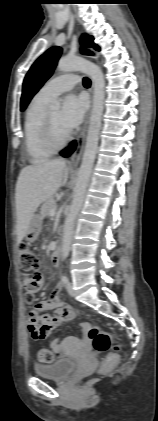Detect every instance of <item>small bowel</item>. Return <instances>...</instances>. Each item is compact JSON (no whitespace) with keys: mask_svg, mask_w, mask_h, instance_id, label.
Wrapping results in <instances>:
<instances>
[{"mask_svg":"<svg viewBox=\"0 0 158 421\" xmlns=\"http://www.w3.org/2000/svg\"><path fill=\"white\" fill-rule=\"evenodd\" d=\"M40 276V287L43 284V278ZM62 284L59 283L54 288L51 295L35 304L33 310L28 315V330L34 340H44L50 333L62 323L70 322L75 317V311L72 306L65 304L61 299ZM53 311V314L47 312ZM86 327V324L82 325ZM75 342L74 337L63 339L56 338L51 342L52 350L62 357L67 348Z\"/></svg>","mask_w":158,"mask_h":421,"instance_id":"obj_1","label":"small bowel"}]
</instances>
